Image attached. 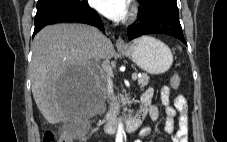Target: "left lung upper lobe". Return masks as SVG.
Segmentation results:
<instances>
[{
    "label": "left lung upper lobe",
    "instance_id": "left-lung-upper-lobe-1",
    "mask_svg": "<svg viewBox=\"0 0 227 142\" xmlns=\"http://www.w3.org/2000/svg\"><path fill=\"white\" fill-rule=\"evenodd\" d=\"M143 9L138 12V17L143 16L151 9L161 8L171 12L179 13L176 0H138Z\"/></svg>",
    "mask_w": 227,
    "mask_h": 142
}]
</instances>
